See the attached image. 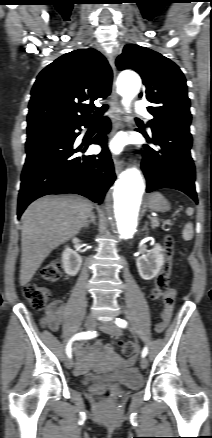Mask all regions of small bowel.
<instances>
[{
    "instance_id": "1",
    "label": "small bowel",
    "mask_w": 212,
    "mask_h": 438,
    "mask_svg": "<svg viewBox=\"0 0 212 438\" xmlns=\"http://www.w3.org/2000/svg\"><path fill=\"white\" fill-rule=\"evenodd\" d=\"M175 298H176V291L174 289H169L168 292L160 299L161 307H162L160 312V319L155 325V330L159 333L166 329L172 318ZM63 312H64L63 302L59 300L52 302L46 309L45 314L42 318L43 325L46 326L51 331H57L62 321ZM86 349L87 347L85 344H79L77 351L78 363L74 368V374L76 375L84 374L89 370L90 356L87 355ZM101 349L102 346L99 343H95L90 347L92 354H96ZM104 349L111 350L112 346L106 345L104 346Z\"/></svg>"
}]
</instances>
